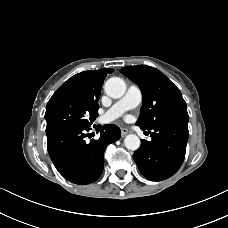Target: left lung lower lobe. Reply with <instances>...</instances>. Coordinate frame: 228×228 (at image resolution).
I'll list each match as a JSON object with an SVG mask.
<instances>
[{
  "mask_svg": "<svg viewBox=\"0 0 228 228\" xmlns=\"http://www.w3.org/2000/svg\"><path fill=\"white\" fill-rule=\"evenodd\" d=\"M148 132L152 140H141L134 160L147 179L165 180L175 174L183 163L189 137L188 122L167 123Z\"/></svg>",
  "mask_w": 228,
  "mask_h": 228,
  "instance_id": "1",
  "label": "left lung lower lobe"
}]
</instances>
